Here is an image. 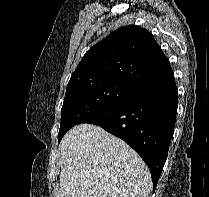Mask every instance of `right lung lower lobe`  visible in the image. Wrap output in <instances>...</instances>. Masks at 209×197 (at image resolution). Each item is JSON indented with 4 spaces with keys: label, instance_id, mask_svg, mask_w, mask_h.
Wrapping results in <instances>:
<instances>
[{
    "label": "right lung lower lobe",
    "instance_id": "obj_1",
    "mask_svg": "<svg viewBox=\"0 0 209 197\" xmlns=\"http://www.w3.org/2000/svg\"><path fill=\"white\" fill-rule=\"evenodd\" d=\"M177 97L174 74L170 72L84 123L96 124L130 145L150 168L155 188L174 132Z\"/></svg>",
    "mask_w": 209,
    "mask_h": 197
}]
</instances>
